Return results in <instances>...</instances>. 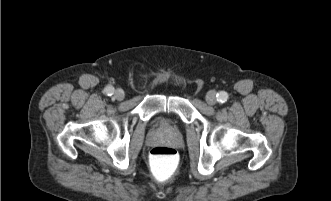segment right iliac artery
I'll list each match as a JSON object with an SVG mask.
<instances>
[{
  "label": "right iliac artery",
  "instance_id": "1",
  "mask_svg": "<svg viewBox=\"0 0 331 201\" xmlns=\"http://www.w3.org/2000/svg\"><path fill=\"white\" fill-rule=\"evenodd\" d=\"M104 92L108 95V96H112L114 94V88L112 86H107L104 90Z\"/></svg>",
  "mask_w": 331,
  "mask_h": 201
}]
</instances>
